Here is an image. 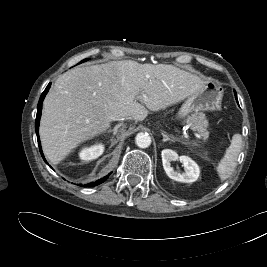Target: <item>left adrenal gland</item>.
Segmentation results:
<instances>
[{"label":"left adrenal gland","instance_id":"a2214340","mask_svg":"<svg viewBox=\"0 0 267 267\" xmlns=\"http://www.w3.org/2000/svg\"><path fill=\"white\" fill-rule=\"evenodd\" d=\"M162 136H163V142L166 141H171V142H175V141H180L179 139L175 138L174 136H170L166 134L165 131H162ZM193 145H197L196 143H193Z\"/></svg>","mask_w":267,"mask_h":267}]
</instances>
